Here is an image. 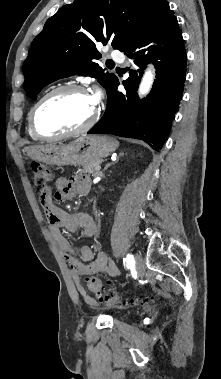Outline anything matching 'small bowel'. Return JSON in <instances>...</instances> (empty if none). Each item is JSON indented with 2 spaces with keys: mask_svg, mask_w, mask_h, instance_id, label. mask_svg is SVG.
Listing matches in <instances>:
<instances>
[{
  "mask_svg": "<svg viewBox=\"0 0 221 379\" xmlns=\"http://www.w3.org/2000/svg\"><path fill=\"white\" fill-rule=\"evenodd\" d=\"M56 188L55 198L58 201H67L76 196H85L89 192L90 185L85 178L70 180L60 177L56 181ZM40 202L48 219L49 231L70 265L71 276L79 294L87 303L93 304L94 300L87 295L80 282V277L98 273L118 277L120 271L103 251L94 253L89 246H82L77 252L63 232L80 231L82 237L91 238L97 232L95 221L87 213L70 214L57 207L53 203L51 192L44 199H40Z\"/></svg>",
  "mask_w": 221,
  "mask_h": 379,
  "instance_id": "c3829d8e",
  "label": "small bowel"
}]
</instances>
